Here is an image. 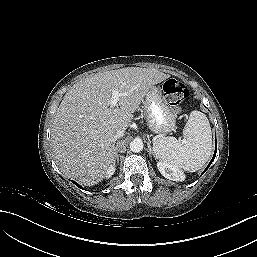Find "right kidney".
Instances as JSON below:
<instances>
[{"label": "right kidney", "instance_id": "ca27d5eb", "mask_svg": "<svg viewBox=\"0 0 257 257\" xmlns=\"http://www.w3.org/2000/svg\"><path fill=\"white\" fill-rule=\"evenodd\" d=\"M114 171H115L114 164L109 165L108 168L106 169L105 178H110L113 175Z\"/></svg>", "mask_w": 257, "mask_h": 257}]
</instances>
